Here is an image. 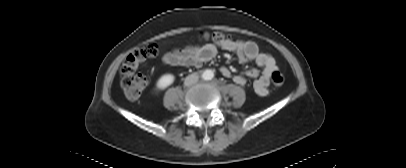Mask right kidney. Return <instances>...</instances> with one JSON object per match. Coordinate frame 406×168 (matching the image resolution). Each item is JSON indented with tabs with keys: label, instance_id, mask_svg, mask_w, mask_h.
<instances>
[{
	"label": "right kidney",
	"instance_id": "obj_1",
	"mask_svg": "<svg viewBox=\"0 0 406 168\" xmlns=\"http://www.w3.org/2000/svg\"><path fill=\"white\" fill-rule=\"evenodd\" d=\"M174 82V76L172 74H165L161 76L157 83H156V88L158 90H163L170 86Z\"/></svg>",
	"mask_w": 406,
	"mask_h": 168
}]
</instances>
